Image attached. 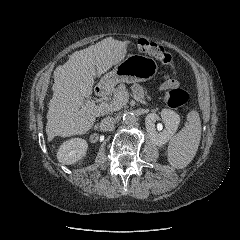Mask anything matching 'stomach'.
Returning <instances> with one entry per match:
<instances>
[{
	"label": "stomach",
	"instance_id": "0dacf381",
	"mask_svg": "<svg viewBox=\"0 0 240 240\" xmlns=\"http://www.w3.org/2000/svg\"><path fill=\"white\" fill-rule=\"evenodd\" d=\"M158 71L156 61L148 56L130 54L103 76L100 84L113 86L120 82L133 83L152 79Z\"/></svg>",
	"mask_w": 240,
	"mask_h": 240
}]
</instances>
